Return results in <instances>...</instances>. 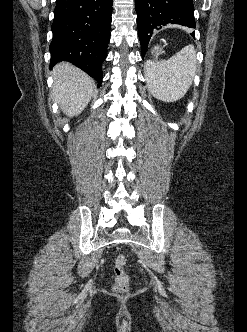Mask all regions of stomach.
Segmentation results:
<instances>
[{
	"instance_id": "1",
	"label": "stomach",
	"mask_w": 247,
	"mask_h": 332,
	"mask_svg": "<svg viewBox=\"0 0 247 332\" xmlns=\"http://www.w3.org/2000/svg\"><path fill=\"white\" fill-rule=\"evenodd\" d=\"M153 52L155 53V55H159L160 54L159 47H155Z\"/></svg>"
}]
</instances>
